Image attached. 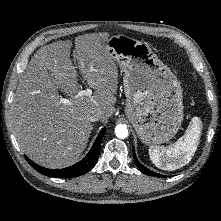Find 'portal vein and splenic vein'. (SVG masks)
<instances>
[{
  "label": "portal vein and splenic vein",
  "mask_w": 221,
  "mask_h": 221,
  "mask_svg": "<svg viewBox=\"0 0 221 221\" xmlns=\"http://www.w3.org/2000/svg\"><path fill=\"white\" fill-rule=\"evenodd\" d=\"M92 94V90L87 88L86 90H80L77 93V97H82V96H90ZM60 102L66 105H69L71 103V101L69 99L66 98H61Z\"/></svg>",
  "instance_id": "1"
}]
</instances>
